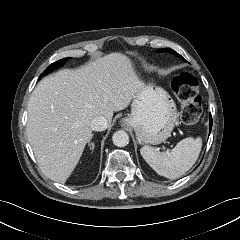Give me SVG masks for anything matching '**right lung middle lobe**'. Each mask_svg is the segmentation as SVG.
<instances>
[{"label": "right lung middle lobe", "instance_id": "obj_1", "mask_svg": "<svg viewBox=\"0 0 240 240\" xmlns=\"http://www.w3.org/2000/svg\"><path fill=\"white\" fill-rule=\"evenodd\" d=\"M66 59H70V58H64V59H61L57 62H54L52 63L51 65H49L46 70L44 71V73L42 75H40L39 79L43 76V75H46L47 73L53 71L54 69H57L61 66H63L65 64V61Z\"/></svg>", "mask_w": 240, "mask_h": 240}]
</instances>
